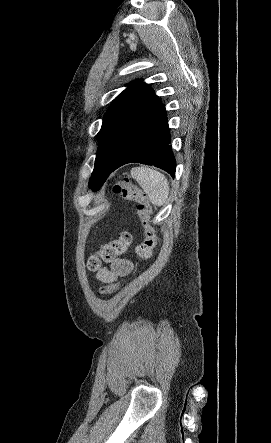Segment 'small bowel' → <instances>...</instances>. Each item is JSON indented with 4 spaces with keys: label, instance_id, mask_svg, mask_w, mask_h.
Masks as SVG:
<instances>
[{
    "label": "small bowel",
    "instance_id": "obj_1",
    "mask_svg": "<svg viewBox=\"0 0 271 443\" xmlns=\"http://www.w3.org/2000/svg\"><path fill=\"white\" fill-rule=\"evenodd\" d=\"M133 269V263L127 259H116L110 268H102L98 271L96 278L103 284L112 283L120 276L129 274Z\"/></svg>",
    "mask_w": 271,
    "mask_h": 443
}]
</instances>
